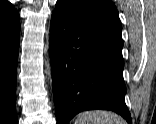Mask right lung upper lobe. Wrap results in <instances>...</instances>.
I'll return each instance as SVG.
<instances>
[{
    "instance_id": "cb5924a9",
    "label": "right lung upper lobe",
    "mask_w": 156,
    "mask_h": 124,
    "mask_svg": "<svg viewBox=\"0 0 156 124\" xmlns=\"http://www.w3.org/2000/svg\"><path fill=\"white\" fill-rule=\"evenodd\" d=\"M20 26L19 14L7 0H0V29H13Z\"/></svg>"
}]
</instances>
